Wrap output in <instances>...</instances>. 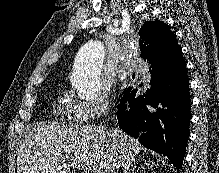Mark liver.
I'll list each match as a JSON object with an SVG mask.
<instances>
[{"label": "liver", "instance_id": "6515ba94", "mask_svg": "<svg viewBox=\"0 0 219 173\" xmlns=\"http://www.w3.org/2000/svg\"><path fill=\"white\" fill-rule=\"evenodd\" d=\"M17 173H111L134 161L143 146L120 129L102 125H37L20 142Z\"/></svg>", "mask_w": 219, "mask_h": 173}]
</instances>
